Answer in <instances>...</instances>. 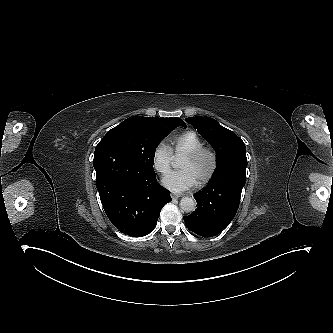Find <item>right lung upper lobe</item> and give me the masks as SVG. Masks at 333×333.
<instances>
[{
  "mask_svg": "<svg viewBox=\"0 0 333 333\" xmlns=\"http://www.w3.org/2000/svg\"><path fill=\"white\" fill-rule=\"evenodd\" d=\"M167 119H171L173 121H180V122L184 123V121H182L180 118H167Z\"/></svg>",
  "mask_w": 333,
  "mask_h": 333,
  "instance_id": "right-lung-upper-lobe-1",
  "label": "right lung upper lobe"
}]
</instances>
